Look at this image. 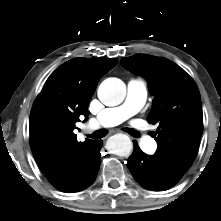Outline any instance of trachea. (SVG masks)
I'll return each mask as SVG.
<instances>
[{"mask_svg":"<svg viewBox=\"0 0 221 221\" xmlns=\"http://www.w3.org/2000/svg\"><path fill=\"white\" fill-rule=\"evenodd\" d=\"M124 131H126L127 133H129L131 136H133L135 138L139 137V132H137L136 130H134L132 128H125ZM107 133H108L107 130L100 129V130L93 132L91 135H89V137L92 139H100V138H103L104 136H106Z\"/></svg>","mask_w":221,"mask_h":221,"instance_id":"trachea-1","label":"trachea"}]
</instances>
